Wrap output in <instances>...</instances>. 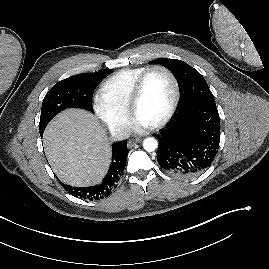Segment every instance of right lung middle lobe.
<instances>
[{
    "label": "right lung middle lobe",
    "mask_w": 269,
    "mask_h": 269,
    "mask_svg": "<svg viewBox=\"0 0 269 269\" xmlns=\"http://www.w3.org/2000/svg\"><path fill=\"white\" fill-rule=\"evenodd\" d=\"M112 69L79 74L56 83L43 99L39 132L43 133L49 121L60 111L78 107L92 111V95L98 84Z\"/></svg>",
    "instance_id": "dd1d6c3e"
}]
</instances>
